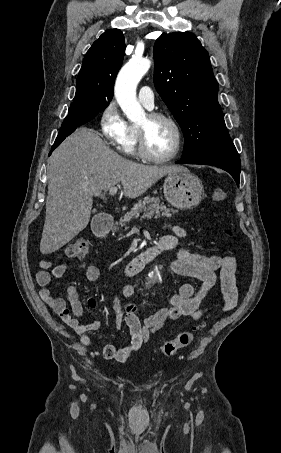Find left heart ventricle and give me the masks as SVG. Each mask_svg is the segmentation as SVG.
I'll use <instances>...</instances> for the list:
<instances>
[{
    "instance_id": "b2bd125f",
    "label": "left heart ventricle",
    "mask_w": 281,
    "mask_h": 453,
    "mask_svg": "<svg viewBox=\"0 0 281 453\" xmlns=\"http://www.w3.org/2000/svg\"><path fill=\"white\" fill-rule=\"evenodd\" d=\"M139 126L146 128L148 145L154 154L165 156L171 152L175 141V133L168 123L165 121L148 123L145 116Z\"/></svg>"
}]
</instances>
